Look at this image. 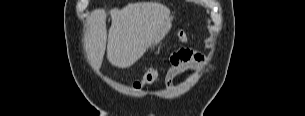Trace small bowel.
<instances>
[{"mask_svg":"<svg viewBox=\"0 0 305 116\" xmlns=\"http://www.w3.org/2000/svg\"><path fill=\"white\" fill-rule=\"evenodd\" d=\"M204 56L201 53L189 49H181L171 58V66L164 77V86L170 90L174 86V80L180 74L194 70L201 66Z\"/></svg>","mask_w":305,"mask_h":116,"instance_id":"c3829d8e","label":"small bowel"}]
</instances>
